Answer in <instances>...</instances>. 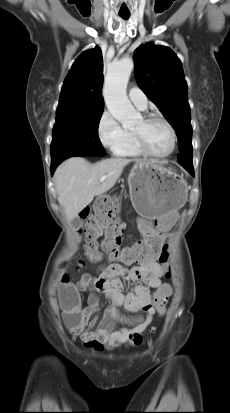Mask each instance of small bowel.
<instances>
[{"label":"small bowel","mask_w":230,"mask_h":413,"mask_svg":"<svg viewBox=\"0 0 230 413\" xmlns=\"http://www.w3.org/2000/svg\"><path fill=\"white\" fill-rule=\"evenodd\" d=\"M179 221L178 214H165L163 218H158L157 222L154 218H139V227L147 237L150 234H156V231H172ZM110 260L117 259L110 258ZM160 267L163 266L155 260L143 262L131 268L112 263L98 278L84 274L76 284L63 283L59 291L61 302L71 292L80 297V293L88 289L103 292L111 301V305L106 308L101 319L97 316L100 304L95 293L88 296L86 306H82L80 297L78 307L80 318L77 322L75 315L64 309V320L70 333L79 336L86 347L96 351L113 349L122 344H133L134 339L140 337L146 330L157 310L154 297L164 295L168 299L172 294L171 286L161 282L165 272H160ZM123 278L143 283L137 285L133 292L124 294ZM150 289L155 290L153 297ZM120 307H124L130 313L142 312L144 314L127 315L120 311ZM117 324L122 326L116 328Z\"/></svg>","instance_id":"obj_1"}]
</instances>
